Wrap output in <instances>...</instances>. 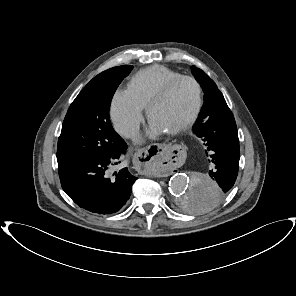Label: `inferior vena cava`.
<instances>
[{
	"instance_id": "602c4592",
	"label": "inferior vena cava",
	"mask_w": 296,
	"mask_h": 296,
	"mask_svg": "<svg viewBox=\"0 0 296 296\" xmlns=\"http://www.w3.org/2000/svg\"><path fill=\"white\" fill-rule=\"evenodd\" d=\"M139 132V127H131L126 131V136L133 137Z\"/></svg>"
}]
</instances>
